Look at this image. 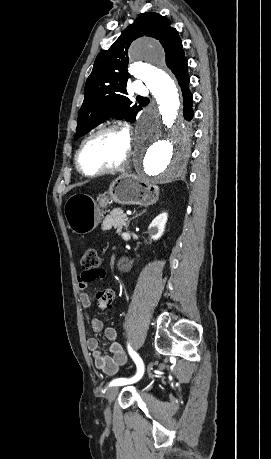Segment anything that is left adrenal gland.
<instances>
[{
    "label": "left adrenal gland",
    "instance_id": "a2214340",
    "mask_svg": "<svg viewBox=\"0 0 271 459\" xmlns=\"http://www.w3.org/2000/svg\"><path fill=\"white\" fill-rule=\"evenodd\" d=\"M144 212H145V210H144ZM137 216H138V214H136V216H134V218H137ZM134 218H132V220H134ZM129 224H130V220H128V222H127V224L125 226V229H128Z\"/></svg>",
    "mask_w": 271,
    "mask_h": 459
}]
</instances>
